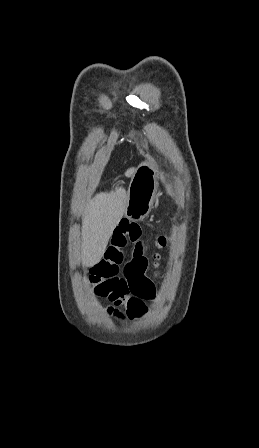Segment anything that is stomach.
I'll use <instances>...</instances> for the list:
<instances>
[{"label": "stomach", "mask_w": 259, "mask_h": 448, "mask_svg": "<svg viewBox=\"0 0 259 448\" xmlns=\"http://www.w3.org/2000/svg\"><path fill=\"white\" fill-rule=\"evenodd\" d=\"M157 168L152 160L139 164L127 192L126 216L133 222L148 216L157 194Z\"/></svg>", "instance_id": "obj_1"}]
</instances>
